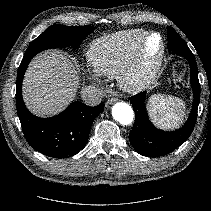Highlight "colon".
<instances>
[{
	"instance_id": "5ec220e1",
	"label": "colon",
	"mask_w": 211,
	"mask_h": 211,
	"mask_svg": "<svg viewBox=\"0 0 211 211\" xmlns=\"http://www.w3.org/2000/svg\"><path fill=\"white\" fill-rule=\"evenodd\" d=\"M185 68L183 64L176 63L173 67L172 76L176 85L180 88L184 87Z\"/></svg>"
}]
</instances>
